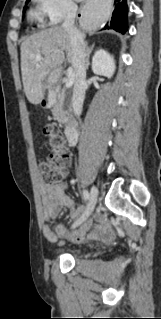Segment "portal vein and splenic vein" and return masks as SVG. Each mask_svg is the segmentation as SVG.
Segmentation results:
<instances>
[{
    "label": "portal vein and splenic vein",
    "mask_w": 161,
    "mask_h": 319,
    "mask_svg": "<svg viewBox=\"0 0 161 319\" xmlns=\"http://www.w3.org/2000/svg\"><path fill=\"white\" fill-rule=\"evenodd\" d=\"M37 60H41L42 57L41 56H37L36 58ZM73 82H74V72H73V69L72 68H69L67 70V81H66V88H70L72 85H73Z\"/></svg>",
    "instance_id": "obj_1"
}]
</instances>
